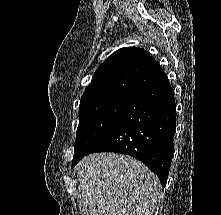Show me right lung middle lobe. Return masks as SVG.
I'll return each mask as SVG.
<instances>
[{
	"label": "right lung middle lobe",
	"mask_w": 221,
	"mask_h": 215,
	"mask_svg": "<svg viewBox=\"0 0 221 215\" xmlns=\"http://www.w3.org/2000/svg\"><path fill=\"white\" fill-rule=\"evenodd\" d=\"M131 100L125 97H109L80 104L73 159L90 151Z\"/></svg>",
	"instance_id": "1"
}]
</instances>
